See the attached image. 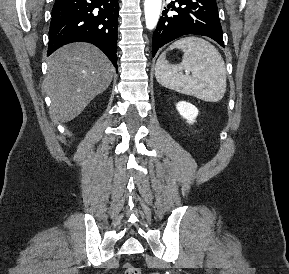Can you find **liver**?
Here are the masks:
<instances>
[{
  "instance_id": "1",
  "label": "liver",
  "mask_w": 289,
  "mask_h": 274,
  "mask_svg": "<svg viewBox=\"0 0 289 274\" xmlns=\"http://www.w3.org/2000/svg\"><path fill=\"white\" fill-rule=\"evenodd\" d=\"M113 71L105 54L91 44L71 43L55 51L45 79L53 118L65 123L79 116L109 87Z\"/></svg>"
}]
</instances>
